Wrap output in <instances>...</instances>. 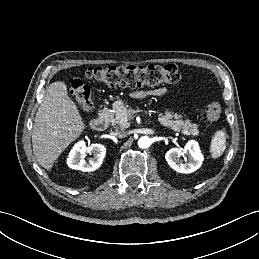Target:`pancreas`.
<instances>
[{
  "instance_id": "1",
  "label": "pancreas",
  "mask_w": 259,
  "mask_h": 259,
  "mask_svg": "<svg viewBox=\"0 0 259 259\" xmlns=\"http://www.w3.org/2000/svg\"><path fill=\"white\" fill-rule=\"evenodd\" d=\"M110 118L113 125L117 124L122 129L128 128L130 126L128 121L131 118V110L127 109L123 101L118 100L113 105V112ZM159 122L161 125L187 136H197L199 134L197 124L191 123L190 120H183L181 114L169 112L168 110L165 113H159Z\"/></svg>"
}]
</instances>
